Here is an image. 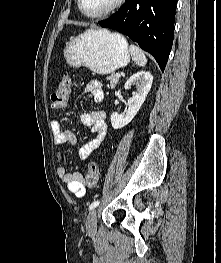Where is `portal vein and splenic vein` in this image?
<instances>
[{"label": "portal vein and splenic vein", "instance_id": "obj_1", "mask_svg": "<svg viewBox=\"0 0 221 263\" xmlns=\"http://www.w3.org/2000/svg\"><path fill=\"white\" fill-rule=\"evenodd\" d=\"M115 77L120 78V73H116Z\"/></svg>", "mask_w": 221, "mask_h": 263}]
</instances>
